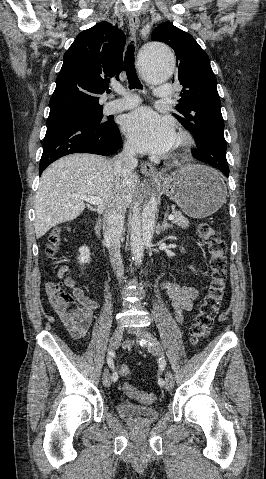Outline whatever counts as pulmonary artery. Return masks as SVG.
I'll return each instance as SVG.
<instances>
[{"label":"pulmonary artery","mask_w":266,"mask_h":479,"mask_svg":"<svg viewBox=\"0 0 266 479\" xmlns=\"http://www.w3.org/2000/svg\"><path fill=\"white\" fill-rule=\"evenodd\" d=\"M122 98L112 100L106 104L107 113H117L124 110L133 108L139 104V98L131 91H119ZM171 94V88L168 84H161L154 90V95L157 98H169Z\"/></svg>","instance_id":"obj_1"}]
</instances>
